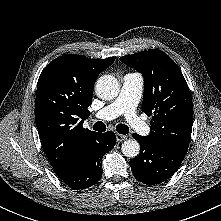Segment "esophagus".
<instances>
[{
  "instance_id": "34e87169",
  "label": "esophagus",
  "mask_w": 221,
  "mask_h": 221,
  "mask_svg": "<svg viewBox=\"0 0 221 221\" xmlns=\"http://www.w3.org/2000/svg\"><path fill=\"white\" fill-rule=\"evenodd\" d=\"M127 139V136L126 135H122V134H116V141L117 142H122L124 140Z\"/></svg>"
}]
</instances>
